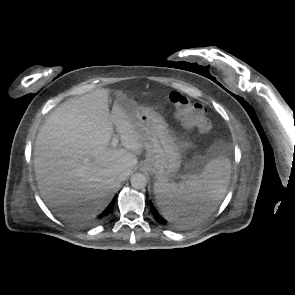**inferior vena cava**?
Here are the masks:
<instances>
[{
  "mask_svg": "<svg viewBox=\"0 0 295 295\" xmlns=\"http://www.w3.org/2000/svg\"><path fill=\"white\" fill-rule=\"evenodd\" d=\"M126 176H127V173H120L118 178H119V180L122 181L126 178Z\"/></svg>",
  "mask_w": 295,
  "mask_h": 295,
  "instance_id": "602c4592",
  "label": "inferior vena cava"
}]
</instances>
